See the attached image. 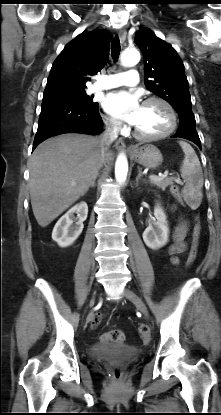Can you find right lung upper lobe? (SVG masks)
<instances>
[{"mask_svg": "<svg viewBox=\"0 0 221 415\" xmlns=\"http://www.w3.org/2000/svg\"><path fill=\"white\" fill-rule=\"evenodd\" d=\"M111 38L108 31L94 30L69 42L52 65L44 94L86 88L89 76L107 63Z\"/></svg>", "mask_w": 221, "mask_h": 415, "instance_id": "cb5924a9", "label": "right lung upper lobe"}]
</instances>
